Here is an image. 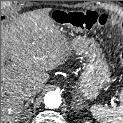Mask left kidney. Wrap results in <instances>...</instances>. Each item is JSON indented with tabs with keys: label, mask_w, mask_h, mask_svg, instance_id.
<instances>
[{
	"label": "left kidney",
	"mask_w": 123,
	"mask_h": 123,
	"mask_svg": "<svg viewBox=\"0 0 123 123\" xmlns=\"http://www.w3.org/2000/svg\"><path fill=\"white\" fill-rule=\"evenodd\" d=\"M85 123H91L90 121H86Z\"/></svg>",
	"instance_id": "1"
}]
</instances>
